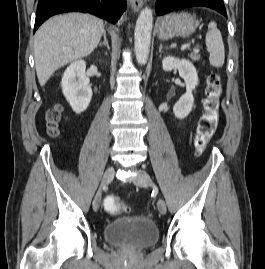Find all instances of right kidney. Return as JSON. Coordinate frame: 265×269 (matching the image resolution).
Listing matches in <instances>:
<instances>
[{
	"label": "right kidney",
	"instance_id": "right-kidney-1",
	"mask_svg": "<svg viewBox=\"0 0 265 269\" xmlns=\"http://www.w3.org/2000/svg\"><path fill=\"white\" fill-rule=\"evenodd\" d=\"M86 63L78 60L71 63L62 77V91L76 114L84 112L92 98L89 78L85 73Z\"/></svg>",
	"mask_w": 265,
	"mask_h": 269
}]
</instances>
